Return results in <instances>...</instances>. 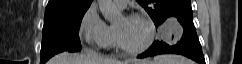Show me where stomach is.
<instances>
[{"label": "stomach", "instance_id": "obj_1", "mask_svg": "<svg viewBox=\"0 0 242 64\" xmlns=\"http://www.w3.org/2000/svg\"><path fill=\"white\" fill-rule=\"evenodd\" d=\"M148 64H154L153 62H151V63H148Z\"/></svg>", "mask_w": 242, "mask_h": 64}]
</instances>
